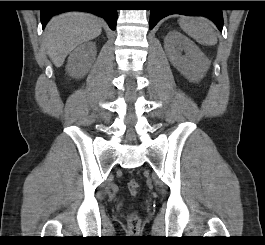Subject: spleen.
<instances>
[{
    "mask_svg": "<svg viewBox=\"0 0 265 245\" xmlns=\"http://www.w3.org/2000/svg\"><path fill=\"white\" fill-rule=\"evenodd\" d=\"M182 30L202 45H215L217 35L212 25L201 17L182 16L179 20Z\"/></svg>",
    "mask_w": 265,
    "mask_h": 245,
    "instance_id": "1",
    "label": "spleen"
}]
</instances>
